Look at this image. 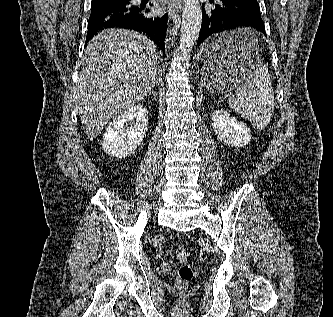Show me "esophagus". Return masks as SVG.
I'll return each instance as SVG.
<instances>
[{"label": "esophagus", "instance_id": "1", "mask_svg": "<svg viewBox=\"0 0 333 317\" xmlns=\"http://www.w3.org/2000/svg\"><path fill=\"white\" fill-rule=\"evenodd\" d=\"M182 2L183 0H170L168 3V12L170 17H173L175 10L178 12L181 9Z\"/></svg>", "mask_w": 333, "mask_h": 317}]
</instances>
